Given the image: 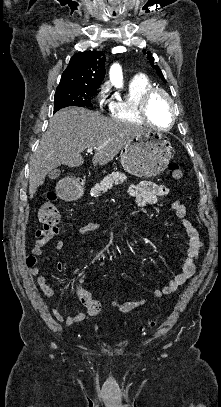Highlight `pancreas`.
Instances as JSON below:
<instances>
[{
    "instance_id": "pancreas-1",
    "label": "pancreas",
    "mask_w": 221,
    "mask_h": 407,
    "mask_svg": "<svg viewBox=\"0 0 221 407\" xmlns=\"http://www.w3.org/2000/svg\"><path fill=\"white\" fill-rule=\"evenodd\" d=\"M127 177L121 172H113L106 176L100 183H97L92 189L91 193L95 197H99L101 194L111 189L114 185L122 184L126 181Z\"/></svg>"
}]
</instances>
